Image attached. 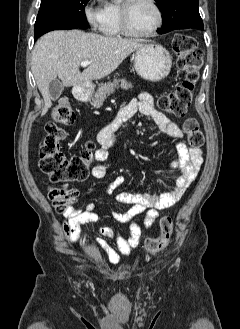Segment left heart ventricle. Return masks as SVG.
I'll return each instance as SVG.
<instances>
[{"instance_id":"left-heart-ventricle-1","label":"left heart ventricle","mask_w":240,"mask_h":329,"mask_svg":"<svg viewBox=\"0 0 240 329\" xmlns=\"http://www.w3.org/2000/svg\"><path fill=\"white\" fill-rule=\"evenodd\" d=\"M157 21V14L148 0H137L130 11V26L134 31L145 32Z\"/></svg>"}]
</instances>
